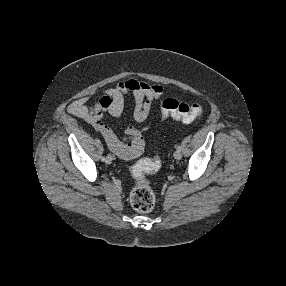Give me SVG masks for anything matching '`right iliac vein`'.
<instances>
[{"mask_svg":"<svg viewBox=\"0 0 286 286\" xmlns=\"http://www.w3.org/2000/svg\"><path fill=\"white\" fill-rule=\"evenodd\" d=\"M105 162H106V164H111V162H112V156H111V155H108V156L106 157Z\"/></svg>","mask_w":286,"mask_h":286,"instance_id":"63e3f726","label":"right iliac vein"}]
</instances>
